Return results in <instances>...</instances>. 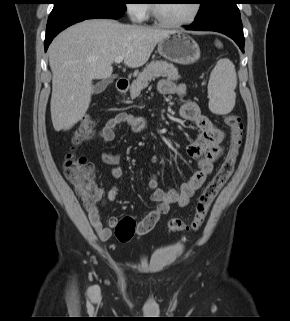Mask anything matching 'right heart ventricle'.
<instances>
[{
  "instance_id": "right-heart-ventricle-1",
  "label": "right heart ventricle",
  "mask_w": 290,
  "mask_h": 321,
  "mask_svg": "<svg viewBox=\"0 0 290 321\" xmlns=\"http://www.w3.org/2000/svg\"><path fill=\"white\" fill-rule=\"evenodd\" d=\"M147 11H149V8H148V6H147Z\"/></svg>"
}]
</instances>
